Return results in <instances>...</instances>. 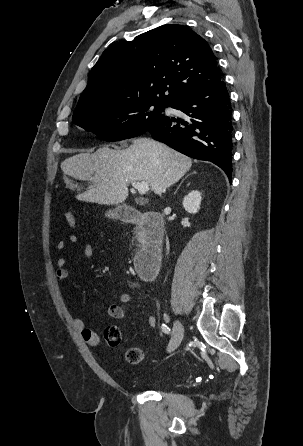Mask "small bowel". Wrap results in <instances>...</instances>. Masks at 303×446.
Segmentation results:
<instances>
[{"mask_svg": "<svg viewBox=\"0 0 303 446\" xmlns=\"http://www.w3.org/2000/svg\"><path fill=\"white\" fill-rule=\"evenodd\" d=\"M78 241L77 235L70 233L66 240H61L57 243V249L65 251ZM94 252L93 246L90 243H86L83 247L82 258L88 260L92 257ZM69 262L65 258H59L56 263V279L60 283H64L69 278L68 270ZM130 296L127 293H121L117 296L118 304H112L108 308V315L114 319H123L126 315V304L129 302ZM74 328L80 333L82 340L92 346L98 347L101 343L100 337L90 328L86 326V323L79 317L72 318ZM148 324L154 327L156 320L154 316H148Z\"/></svg>", "mask_w": 303, "mask_h": 446, "instance_id": "c3829d8e", "label": "small bowel"}]
</instances>
